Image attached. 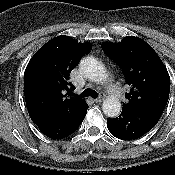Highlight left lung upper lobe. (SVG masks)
I'll use <instances>...</instances> for the list:
<instances>
[{
	"instance_id": "obj_1",
	"label": "left lung upper lobe",
	"mask_w": 175,
	"mask_h": 175,
	"mask_svg": "<svg viewBox=\"0 0 175 175\" xmlns=\"http://www.w3.org/2000/svg\"><path fill=\"white\" fill-rule=\"evenodd\" d=\"M105 53L116 62L125 74L130 92L122 110L146 107L165 108L170 92V77L166 67L144 40L127 36L120 43L104 42Z\"/></svg>"
}]
</instances>
